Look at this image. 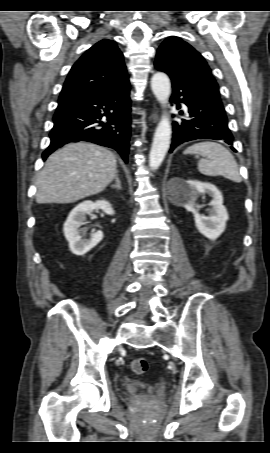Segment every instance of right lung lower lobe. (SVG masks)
I'll list each match as a JSON object with an SVG mask.
<instances>
[{"mask_svg": "<svg viewBox=\"0 0 270 453\" xmlns=\"http://www.w3.org/2000/svg\"><path fill=\"white\" fill-rule=\"evenodd\" d=\"M129 92L127 79L96 96L60 101L53 118L51 142L43 152V160L67 143L88 141L115 149L128 162L131 132Z\"/></svg>", "mask_w": 270, "mask_h": 453, "instance_id": "1", "label": "right lung lower lobe"}]
</instances>
